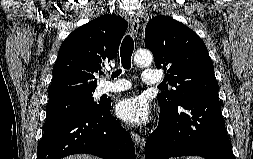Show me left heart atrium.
Masks as SVG:
<instances>
[{"instance_id":"39dd6f15","label":"left heart atrium","mask_w":253,"mask_h":159,"mask_svg":"<svg viewBox=\"0 0 253 159\" xmlns=\"http://www.w3.org/2000/svg\"><path fill=\"white\" fill-rule=\"evenodd\" d=\"M117 116L126 123L142 126L150 120V109L143 96L126 98L116 106Z\"/></svg>"}]
</instances>
